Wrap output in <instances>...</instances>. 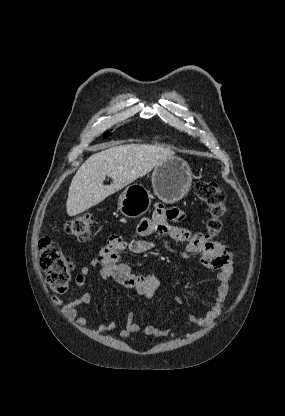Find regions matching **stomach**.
Instances as JSON below:
<instances>
[{"instance_id":"stomach-1","label":"stomach","mask_w":285,"mask_h":416,"mask_svg":"<svg viewBox=\"0 0 285 416\" xmlns=\"http://www.w3.org/2000/svg\"><path fill=\"white\" fill-rule=\"evenodd\" d=\"M155 196L165 204H175L188 194L193 174L182 158H167L155 166L151 176ZM151 206V196L141 184H131L120 194L118 210L126 218H140Z\"/></svg>"}]
</instances>
